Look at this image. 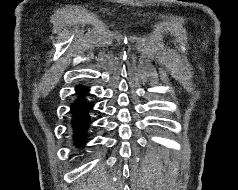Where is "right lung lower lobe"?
Segmentation results:
<instances>
[{"mask_svg": "<svg viewBox=\"0 0 238 190\" xmlns=\"http://www.w3.org/2000/svg\"><path fill=\"white\" fill-rule=\"evenodd\" d=\"M88 90L85 86L76 87L77 98L71 104L70 126L72 128L74 145L76 146L86 143L88 128L91 123L89 112L92 110L93 104L86 99Z\"/></svg>", "mask_w": 238, "mask_h": 190, "instance_id": "1", "label": "right lung lower lobe"}]
</instances>
